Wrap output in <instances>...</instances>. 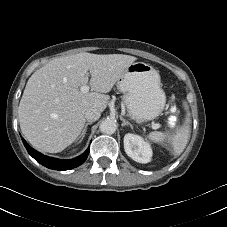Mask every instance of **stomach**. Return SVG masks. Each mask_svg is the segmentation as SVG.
I'll list each match as a JSON object with an SVG mask.
<instances>
[{
	"label": "stomach",
	"instance_id": "0dacf381",
	"mask_svg": "<svg viewBox=\"0 0 227 227\" xmlns=\"http://www.w3.org/2000/svg\"><path fill=\"white\" fill-rule=\"evenodd\" d=\"M130 118L145 123L157 118L164 110L166 95L161 88L159 72L150 64H130L117 81Z\"/></svg>",
	"mask_w": 227,
	"mask_h": 227
}]
</instances>
